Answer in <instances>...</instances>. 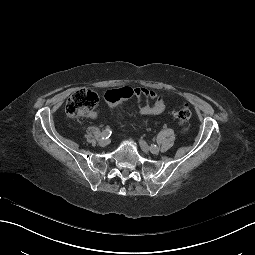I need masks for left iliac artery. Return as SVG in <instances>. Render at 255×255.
<instances>
[{
    "mask_svg": "<svg viewBox=\"0 0 255 255\" xmlns=\"http://www.w3.org/2000/svg\"><path fill=\"white\" fill-rule=\"evenodd\" d=\"M156 145H151L150 149L156 148Z\"/></svg>",
    "mask_w": 255,
    "mask_h": 255,
    "instance_id": "1",
    "label": "left iliac artery"
}]
</instances>
